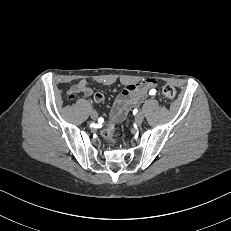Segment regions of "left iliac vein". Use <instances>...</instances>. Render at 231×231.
Wrapping results in <instances>:
<instances>
[{
    "label": "left iliac vein",
    "mask_w": 231,
    "mask_h": 231,
    "mask_svg": "<svg viewBox=\"0 0 231 231\" xmlns=\"http://www.w3.org/2000/svg\"><path fill=\"white\" fill-rule=\"evenodd\" d=\"M135 120L137 123H142V121L144 120V113L142 111L138 112L136 114Z\"/></svg>",
    "instance_id": "obj_1"
}]
</instances>
